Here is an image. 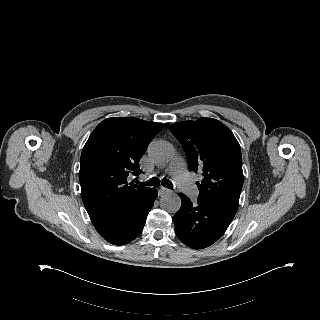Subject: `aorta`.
Returning a JSON list of instances; mask_svg holds the SVG:
<instances>
[{"mask_svg": "<svg viewBox=\"0 0 320 320\" xmlns=\"http://www.w3.org/2000/svg\"><path fill=\"white\" fill-rule=\"evenodd\" d=\"M148 156L154 163L165 165L173 158L174 149L167 141H153L148 147ZM160 206L168 213H176L181 207V198L175 193H166L160 199Z\"/></svg>", "mask_w": 320, "mask_h": 320, "instance_id": "762f6f07", "label": "aorta"}]
</instances>
